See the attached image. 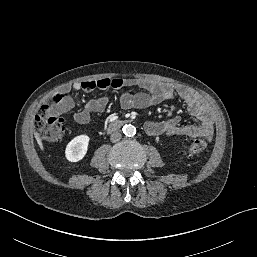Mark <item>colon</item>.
Returning a JSON list of instances; mask_svg holds the SVG:
<instances>
[{
  "label": "colon",
  "mask_w": 257,
  "mask_h": 257,
  "mask_svg": "<svg viewBox=\"0 0 257 257\" xmlns=\"http://www.w3.org/2000/svg\"><path fill=\"white\" fill-rule=\"evenodd\" d=\"M64 93H57L52 97L50 104H44L40 112L35 117L34 128L36 133L45 141L55 142L61 140L65 133L66 127L60 106L65 101ZM208 145L207 138L202 137L194 141L191 149L186 153V157H191L195 153H200Z\"/></svg>",
  "instance_id": "obj_1"
}]
</instances>
